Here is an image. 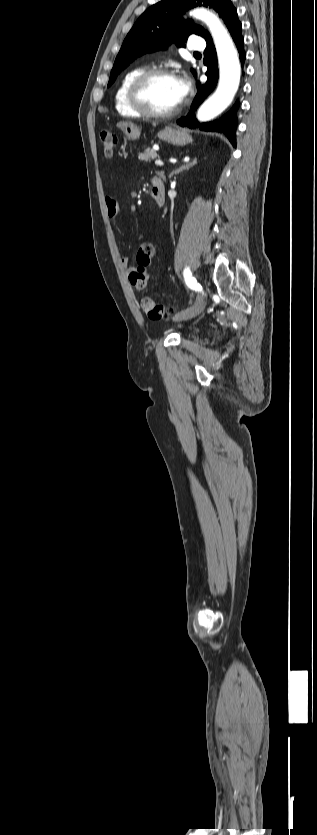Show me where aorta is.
I'll return each mask as SVG.
<instances>
[{"label": "aorta", "instance_id": "1", "mask_svg": "<svg viewBox=\"0 0 317 835\" xmlns=\"http://www.w3.org/2000/svg\"><path fill=\"white\" fill-rule=\"evenodd\" d=\"M190 15L203 21L209 28L218 57L217 89L197 113V119L206 122L220 115L232 103L240 83L241 66L234 43L219 18L205 8L194 9Z\"/></svg>", "mask_w": 317, "mask_h": 835}]
</instances>
